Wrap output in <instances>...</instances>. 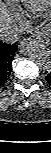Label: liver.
I'll use <instances>...</instances> for the list:
<instances>
[{
	"instance_id": "1",
	"label": "liver",
	"mask_w": 51,
	"mask_h": 153,
	"mask_svg": "<svg viewBox=\"0 0 51 153\" xmlns=\"http://www.w3.org/2000/svg\"><path fill=\"white\" fill-rule=\"evenodd\" d=\"M14 19L6 4L1 2L0 5V30L9 25H13Z\"/></svg>"
}]
</instances>
